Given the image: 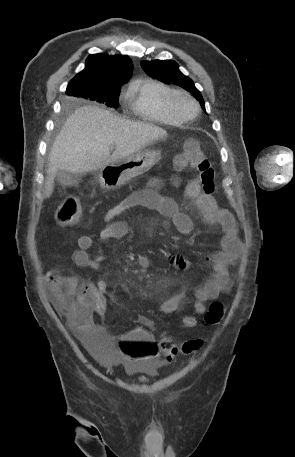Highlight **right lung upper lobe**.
<instances>
[{"label":"right lung upper lobe","mask_w":295,"mask_h":457,"mask_svg":"<svg viewBox=\"0 0 295 457\" xmlns=\"http://www.w3.org/2000/svg\"><path fill=\"white\" fill-rule=\"evenodd\" d=\"M132 70V61L127 56L89 55L86 59L85 69L69 82L67 93L75 85H82L96 90L120 88L131 77Z\"/></svg>","instance_id":"obj_1"}]
</instances>
